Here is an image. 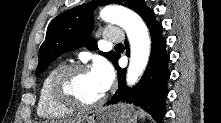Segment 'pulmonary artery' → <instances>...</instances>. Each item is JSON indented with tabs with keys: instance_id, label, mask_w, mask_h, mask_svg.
I'll return each instance as SVG.
<instances>
[{
	"instance_id": "pulmonary-artery-1",
	"label": "pulmonary artery",
	"mask_w": 221,
	"mask_h": 123,
	"mask_svg": "<svg viewBox=\"0 0 221 123\" xmlns=\"http://www.w3.org/2000/svg\"><path fill=\"white\" fill-rule=\"evenodd\" d=\"M103 37L110 43H120L123 40V32L119 28L106 29Z\"/></svg>"
}]
</instances>
